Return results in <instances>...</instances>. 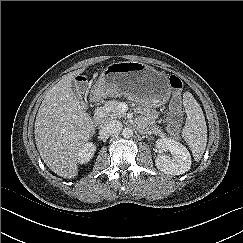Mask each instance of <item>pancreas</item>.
<instances>
[{"label": "pancreas", "instance_id": "obj_1", "mask_svg": "<svg viewBox=\"0 0 243 243\" xmlns=\"http://www.w3.org/2000/svg\"><path fill=\"white\" fill-rule=\"evenodd\" d=\"M102 112L103 116L107 119H116L126 116V113L120 108V102L115 99L107 101L102 107ZM152 131L155 134L160 133L157 127H153Z\"/></svg>", "mask_w": 243, "mask_h": 243}]
</instances>
